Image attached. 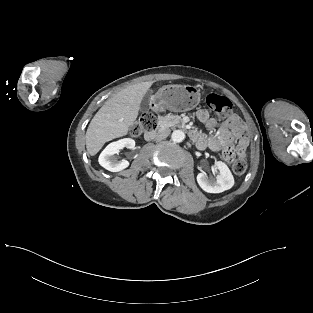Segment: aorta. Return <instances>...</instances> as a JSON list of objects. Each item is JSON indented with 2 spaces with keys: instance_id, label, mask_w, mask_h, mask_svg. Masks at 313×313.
<instances>
[{
  "instance_id": "obj_1",
  "label": "aorta",
  "mask_w": 313,
  "mask_h": 313,
  "mask_svg": "<svg viewBox=\"0 0 313 313\" xmlns=\"http://www.w3.org/2000/svg\"><path fill=\"white\" fill-rule=\"evenodd\" d=\"M171 138L174 142L180 143L185 139V133L182 130L173 131Z\"/></svg>"
}]
</instances>
